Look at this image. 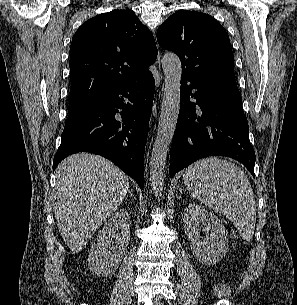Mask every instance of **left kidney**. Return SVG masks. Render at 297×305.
<instances>
[{
  "instance_id": "obj_1",
  "label": "left kidney",
  "mask_w": 297,
  "mask_h": 305,
  "mask_svg": "<svg viewBox=\"0 0 297 305\" xmlns=\"http://www.w3.org/2000/svg\"><path fill=\"white\" fill-rule=\"evenodd\" d=\"M184 230L195 258L206 265L214 264L228 252L227 231L221 220L197 204H189L184 212ZM202 222L206 239L200 238L198 224Z\"/></svg>"
}]
</instances>
